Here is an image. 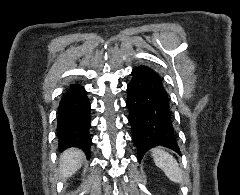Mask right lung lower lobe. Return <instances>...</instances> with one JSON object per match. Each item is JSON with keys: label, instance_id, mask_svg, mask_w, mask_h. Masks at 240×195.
<instances>
[{"label": "right lung lower lobe", "instance_id": "98d812e1", "mask_svg": "<svg viewBox=\"0 0 240 195\" xmlns=\"http://www.w3.org/2000/svg\"><path fill=\"white\" fill-rule=\"evenodd\" d=\"M90 103L87 92L80 84H72L63 94L57 115L59 149L75 146L90 156L91 136Z\"/></svg>", "mask_w": 240, "mask_h": 195}]
</instances>
